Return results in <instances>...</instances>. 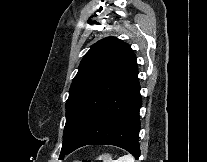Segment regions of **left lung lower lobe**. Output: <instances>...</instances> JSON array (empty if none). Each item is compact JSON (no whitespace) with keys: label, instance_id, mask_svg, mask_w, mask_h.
<instances>
[{"label":"left lung lower lobe","instance_id":"1","mask_svg":"<svg viewBox=\"0 0 207 162\" xmlns=\"http://www.w3.org/2000/svg\"><path fill=\"white\" fill-rule=\"evenodd\" d=\"M141 105L137 70L124 85L98 107L74 144L60 157V160H63L66 154L85 145L103 144L121 147L138 159Z\"/></svg>","mask_w":207,"mask_h":162}]
</instances>
